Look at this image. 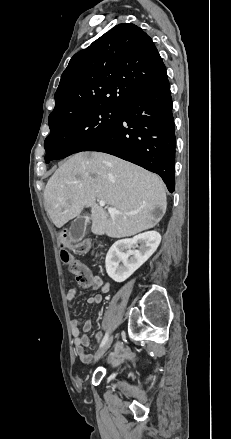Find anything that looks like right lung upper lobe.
<instances>
[{"mask_svg": "<svg viewBox=\"0 0 231 439\" xmlns=\"http://www.w3.org/2000/svg\"><path fill=\"white\" fill-rule=\"evenodd\" d=\"M168 82L152 39L134 24H119L76 53L63 72L49 120L87 108H122Z\"/></svg>", "mask_w": 231, "mask_h": 439, "instance_id": "1", "label": "right lung upper lobe"}]
</instances>
